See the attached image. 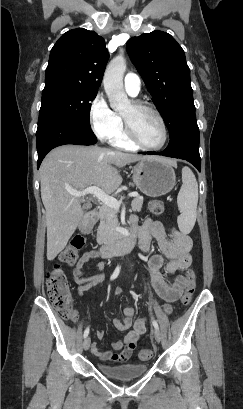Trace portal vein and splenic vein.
Returning <instances> with one entry per match:
<instances>
[{
  "instance_id": "obj_1",
  "label": "portal vein and splenic vein",
  "mask_w": 243,
  "mask_h": 409,
  "mask_svg": "<svg viewBox=\"0 0 243 409\" xmlns=\"http://www.w3.org/2000/svg\"><path fill=\"white\" fill-rule=\"evenodd\" d=\"M68 192L76 197H84L88 194H91L93 196H95L98 200H100L103 204L112 207L116 210H119L122 200L123 198H121L120 200H117L116 198L106 194L102 189H100L97 186H91L89 188H86L82 191H76V190H71L69 189ZM129 197H135L137 196V193L132 192L128 194Z\"/></svg>"
}]
</instances>
